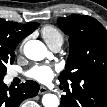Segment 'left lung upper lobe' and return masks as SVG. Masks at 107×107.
Segmentation results:
<instances>
[{"mask_svg": "<svg viewBox=\"0 0 107 107\" xmlns=\"http://www.w3.org/2000/svg\"><path fill=\"white\" fill-rule=\"evenodd\" d=\"M57 22L70 37V54L58 79L71 90L76 100L72 107H78L84 85L107 84V31L89 16L72 15Z\"/></svg>", "mask_w": 107, "mask_h": 107, "instance_id": "5c2ea615", "label": "left lung upper lobe"}]
</instances>
